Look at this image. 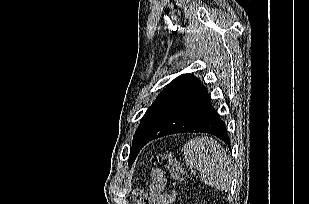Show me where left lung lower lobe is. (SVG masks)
<instances>
[{
	"mask_svg": "<svg viewBox=\"0 0 309 204\" xmlns=\"http://www.w3.org/2000/svg\"><path fill=\"white\" fill-rule=\"evenodd\" d=\"M185 132L212 134L230 148L225 123L210 104L207 89L203 86L171 105L151 127L141 148L159 137Z\"/></svg>",
	"mask_w": 309,
	"mask_h": 204,
	"instance_id": "0a47b994",
	"label": "left lung lower lobe"
}]
</instances>
